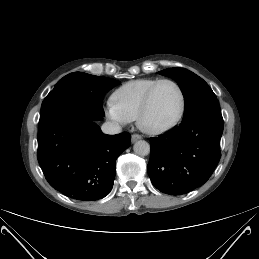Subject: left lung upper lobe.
Wrapping results in <instances>:
<instances>
[{"label": "left lung upper lobe", "mask_w": 259, "mask_h": 259, "mask_svg": "<svg viewBox=\"0 0 259 259\" xmlns=\"http://www.w3.org/2000/svg\"><path fill=\"white\" fill-rule=\"evenodd\" d=\"M159 74L171 77L179 84L185 98L182 122L203 114H221L216 95L198 75L184 68H168Z\"/></svg>", "instance_id": "5c2ea615"}]
</instances>
